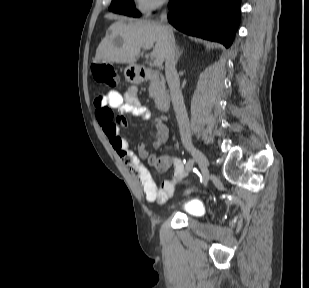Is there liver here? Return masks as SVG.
<instances>
[{"mask_svg":"<svg viewBox=\"0 0 309 288\" xmlns=\"http://www.w3.org/2000/svg\"><path fill=\"white\" fill-rule=\"evenodd\" d=\"M120 37L118 46L115 39ZM152 56L164 61L167 40L163 26L148 20L119 19L108 29L96 50L95 63L134 64L140 57L141 48L152 47Z\"/></svg>","mask_w":309,"mask_h":288,"instance_id":"1","label":"liver"}]
</instances>
